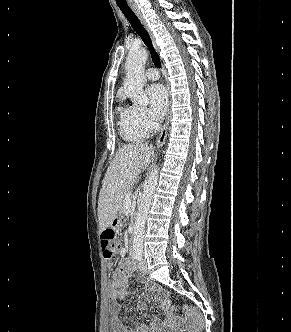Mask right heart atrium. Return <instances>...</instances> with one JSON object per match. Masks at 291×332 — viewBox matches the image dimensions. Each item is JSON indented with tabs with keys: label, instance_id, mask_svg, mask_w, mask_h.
Returning <instances> with one entry per match:
<instances>
[{
	"label": "right heart atrium",
	"instance_id": "d8ad5b80",
	"mask_svg": "<svg viewBox=\"0 0 291 332\" xmlns=\"http://www.w3.org/2000/svg\"><path fill=\"white\" fill-rule=\"evenodd\" d=\"M133 122L138 129L146 133L155 127L147 110L141 106H133Z\"/></svg>",
	"mask_w": 291,
	"mask_h": 332
}]
</instances>
